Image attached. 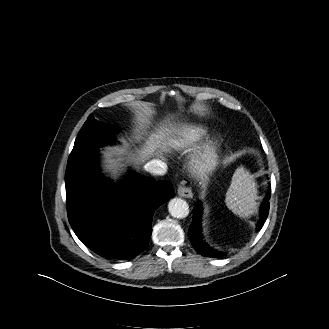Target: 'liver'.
Instances as JSON below:
<instances>
[{
    "mask_svg": "<svg viewBox=\"0 0 329 329\" xmlns=\"http://www.w3.org/2000/svg\"><path fill=\"white\" fill-rule=\"evenodd\" d=\"M169 132V129L165 128L162 130H159L157 133L151 134L149 137V141L146 142V146L143 148V150L140 152V155L143 158H147L150 155H152L157 148L163 147L164 143L163 141L167 137V133ZM163 144V145H161ZM164 148V147H163ZM116 152L118 154H123L125 150L123 148L116 149ZM114 153L112 152H105V167L106 169L111 172L112 177L115 179L118 176V170H120V167L123 166V164L120 162L121 159H115L113 158Z\"/></svg>",
    "mask_w": 329,
    "mask_h": 329,
    "instance_id": "liver-1",
    "label": "liver"
}]
</instances>
